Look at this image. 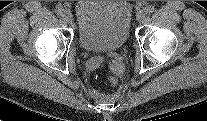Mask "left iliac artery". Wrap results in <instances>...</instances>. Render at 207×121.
Masks as SVG:
<instances>
[{"instance_id": "left-iliac-artery-1", "label": "left iliac artery", "mask_w": 207, "mask_h": 121, "mask_svg": "<svg viewBox=\"0 0 207 121\" xmlns=\"http://www.w3.org/2000/svg\"><path fill=\"white\" fill-rule=\"evenodd\" d=\"M154 10H155L154 6L149 5V6H146V7H145L144 12H145L146 14H151Z\"/></svg>"}]
</instances>
